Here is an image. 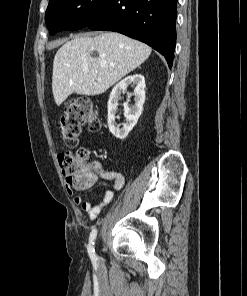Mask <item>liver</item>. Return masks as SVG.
I'll return each instance as SVG.
<instances>
[{"label": "liver", "instance_id": "1", "mask_svg": "<svg viewBox=\"0 0 247 296\" xmlns=\"http://www.w3.org/2000/svg\"><path fill=\"white\" fill-rule=\"evenodd\" d=\"M96 51L98 56L93 57ZM151 48L116 32L90 34L65 42L53 62L52 91L57 106L73 93L95 96L104 93L141 65ZM88 68V72L84 69Z\"/></svg>", "mask_w": 247, "mask_h": 296}]
</instances>
